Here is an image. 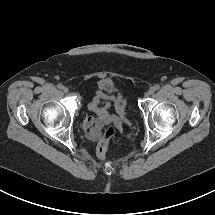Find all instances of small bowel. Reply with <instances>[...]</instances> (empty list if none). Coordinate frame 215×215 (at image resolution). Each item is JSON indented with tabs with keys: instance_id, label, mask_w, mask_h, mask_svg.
Here are the masks:
<instances>
[{
	"instance_id": "obj_1",
	"label": "small bowel",
	"mask_w": 215,
	"mask_h": 215,
	"mask_svg": "<svg viewBox=\"0 0 215 215\" xmlns=\"http://www.w3.org/2000/svg\"><path fill=\"white\" fill-rule=\"evenodd\" d=\"M111 103L116 106L119 114L123 116L125 104L119 95H106L103 92H98L88 104L89 110L96 114V117H87L83 124L89 140L96 141L100 137V127L109 119L108 107Z\"/></svg>"
}]
</instances>
